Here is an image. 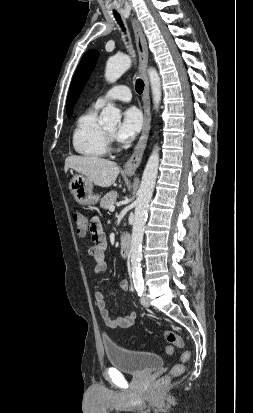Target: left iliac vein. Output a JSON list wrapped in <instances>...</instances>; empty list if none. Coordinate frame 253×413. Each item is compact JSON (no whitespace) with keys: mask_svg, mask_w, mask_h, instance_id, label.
<instances>
[{"mask_svg":"<svg viewBox=\"0 0 253 413\" xmlns=\"http://www.w3.org/2000/svg\"><path fill=\"white\" fill-rule=\"evenodd\" d=\"M141 304L145 307H149L150 306V301L149 298L146 294V292H144L140 298Z\"/></svg>","mask_w":253,"mask_h":413,"instance_id":"4c4485c4","label":"left iliac vein"}]
</instances>
